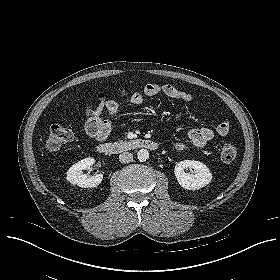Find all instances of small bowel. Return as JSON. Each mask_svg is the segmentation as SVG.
I'll list each match as a JSON object with an SVG mask.
<instances>
[{
	"mask_svg": "<svg viewBox=\"0 0 280 280\" xmlns=\"http://www.w3.org/2000/svg\"><path fill=\"white\" fill-rule=\"evenodd\" d=\"M160 93L165 96L189 102L193 100L194 95L182 91L172 85L164 84L160 85L156 82H148L143 89L133 92L129 97H126V101L133 105H142L144 98L154 97ZM125 95V94H124ZM99 103L97 107L93 106V98L87 101L85 108V128L89 131V126L94 125L99 130V139H105L109 135L111 129V120L102 117L103 112H106L109 116H115L120 110V103L113 99H106L103 94L98 95ZM216 132L220 136H227L230 133L229 122L222 121L216 127ZM215 132L212 128L203 126L196 129H191L188 133L187 142H175L174 149L176 151H184L190 148H198L205 145L207 142L213 139Z\"/></svg>",
	"mask_w": 280,
	"mask_h": 280,
	"instance_id": "obj_1",
	"label": "small bowel"
}]
</instances>
